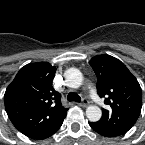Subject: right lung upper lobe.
Masks as SVG:
<instances>
[{
  "mask_svg": "<svg viewBox=\"0 0 145 145\" xmlns=\"http://www.w3.org/2000/svg\"><path fill=\"white\" fill-rule=\"evenodd\" d=\"M56 67L48 62L22 67L4 95L13 125L27 137L45 132L66 116L60 93L52 86Z\"/></svg>",
  "mask_w": 145,
  "mask_h": 145,
  "instance_id": "obj_1",
  "label": "right lung upper lobe"
}]
</instances>
